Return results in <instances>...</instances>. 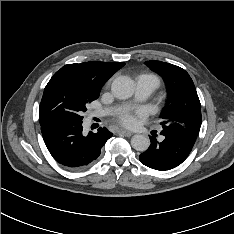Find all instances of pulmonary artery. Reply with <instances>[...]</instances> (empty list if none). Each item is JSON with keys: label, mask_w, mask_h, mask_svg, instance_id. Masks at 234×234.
I'll list each match as a JSON object with an SVG mask.
<instances>
[{"label": "pulmonary artery", "mask_w": 234, "mask_h": 234, "mask_svg": "<svg viewBox=\"0 0 234 234\" xmlns=\"http://www.w3.org/2000/svg\"><path fill=\"white\" fill-rule=\"evenodd\" d=\"M155 88L156 84L151 78L145 76L140 77L137 81L136 98L139 100L148 98L155 90ZM110 111L111 110H106L105 113H108Z\"/></svg>", "instance_id": "e3ab8cb5"}]
</instances>
